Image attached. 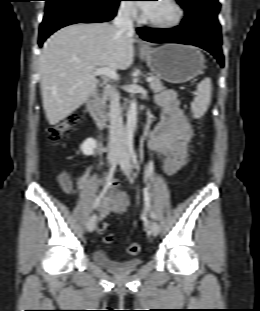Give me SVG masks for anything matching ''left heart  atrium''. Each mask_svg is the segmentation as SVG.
Instances as JSON below:
<instances>
[{
  "mask_svg": "<svg viewBox=\"0 0 260 311\" xmlns=\"http://www.w3.org/2000/svg\"><path fill=\"white\" fill-rule=\"evenodd\" d=\"M149 2H151V1L142 3V4L140 5L141 9L144 11L145 14L150 13V11H151L152 8H153V3H149Z\"/></svg>",
  "mask_w": 260,
  "mask_h": 311,
  "instance_id": "obj_1",
  "label": "left heart atrium"
}]
</instances>
